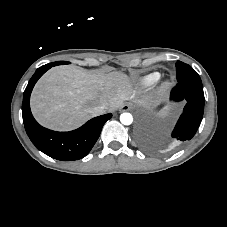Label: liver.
<instances>
[{
	"instance_id": "6515ba94",
	"label": "liver",
	"mask_w": 227,
	"mask_h": 227,
	"mask_svg": "<svg viewBox=\"0 0 227 227\" xmlns=\"http://www.w3.org/2000/svg\"><path fill=\"white\" fill-rule=\"evenodd\" d=\"M135 94L130 77L122 72L58 66L37 82L31 95V110L43 126L70 130L95 116L92 108L96 104L106 102L107 110L115 111Z\"/></svg>"
}]
</instances>
